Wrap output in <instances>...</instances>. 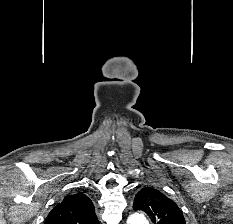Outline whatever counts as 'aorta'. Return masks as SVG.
<instances>
[{"label":"aorta","instance_id":"762f6f07","mask_svg":"<svg viewBox=\"0 0 233 224\" xmlns=\"http://www.w3.org/2000/svg\"><path fill=\"white\" fill-rule=\"evenodd\" d=\"M127 224H148V222L143 214L134 213L128 217Z\"/></svg>","mask_w":233,"mask_h":224}]
</instances>
